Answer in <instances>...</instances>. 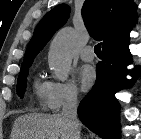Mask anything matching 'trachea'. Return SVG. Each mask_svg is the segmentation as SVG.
<instances>
[{
    "label": "trachea",
    "mask_w": 141,
    "mask_h": 139,
    "mask_svg": "<svg viewBox=\"0 0 141 139\" xmlns=\"http://www.w3.org/2000/svg\"><path fill=\"white\" fill-rule=\"evenodd\" d=\"M94 52H95V54H97V55L101 54V43L97 44V45L94 47Z\"/></svg>",
    "instance_id": "1"
}]
</instances>
